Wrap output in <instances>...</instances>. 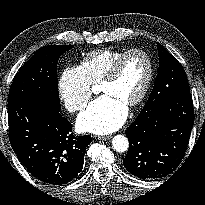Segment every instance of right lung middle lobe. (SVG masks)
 <instances>
[{"label": "right lung middle lobe", "mask_w": 205, "mask_h": 205, "mask_svg": "<svg viewBox=\"0 0 205 205\" xmlns=\"http://www.w3.org/2000/svg\"><path fill=\"white\" fill-rule=\"evenodd\" d=\"M73 45L43 46L18 71L11 85L8 101L27 98L45 103L60 111L57 63Z\"/></svg>", "instance_id": "1"}]
</instances>
